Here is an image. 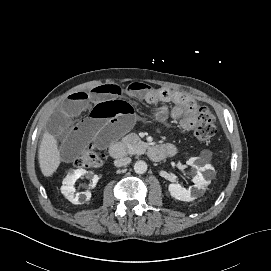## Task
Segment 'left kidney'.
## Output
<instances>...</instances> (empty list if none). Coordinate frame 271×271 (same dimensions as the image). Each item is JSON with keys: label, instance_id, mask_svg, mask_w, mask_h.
<instances>
[{"label": "left kidney", "instance_id": "1", "mask_svg": "<svg viewBox=\"0 0 271 271\" xmlns=\"http://www.w3.org/2000/svg\"><path fill=\"white\" fill-rule=\"evenodd\" d=\"M196 161L195 157H192L189 159L188 164L194 165V162ZM209 170L208 173H206L207 176H210L212 174L214 169L210 164H206L203 167L198 168L197 174L193 177L192 181L195 184V188L199 190H204L209 184L210 180H206L202 174V172H205ZM168 189L170 191V194L173 198L181 201H191L193 198L191 196V188H184L178 183H171L168 186Z\"/></svg>", "mask_w": 271, "mask_h": 271}]
</instances>
